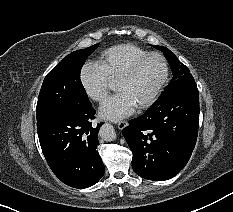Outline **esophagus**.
<instances>
[{
    "instance_id": "34e87169",
    "label": "esophagus",
    "mask_w": 233,
    "mask_h": 212,
    "mask_svg": "<svg viewBox=\"0 0 233 212\" xmlns=\"http://www.w3.org/2000/svg\"><path fill=\"white\" fill-rule=\"evenodd\" d=\"M127 125H128V123H127L126 121H120V122L117 123V127H118L120 130L126 128Z\"/></svg>"
}]
</instances>
